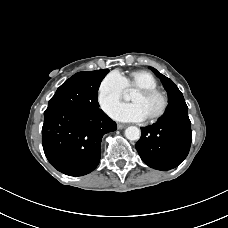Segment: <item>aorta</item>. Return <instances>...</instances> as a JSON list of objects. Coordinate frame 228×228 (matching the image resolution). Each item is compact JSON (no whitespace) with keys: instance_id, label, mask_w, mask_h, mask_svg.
Segmentation results:
<instances>
[{"instance_id":"1","label":"aorta","mask_w":228,"mask_h":228,"mask_svg":"<svg viewBox=\"0 0 228 228\" xmlns=\"http://www.w3.org/2000/svg\"><path fill=\"white\" fill-rule=\"evenodd\" d=\"M140 135H141L140 129L136 126H129L125 130V136L130 141L139 140Z\"/></svg>"}]
</instances>
